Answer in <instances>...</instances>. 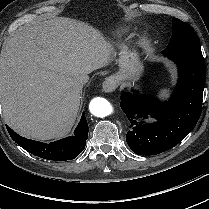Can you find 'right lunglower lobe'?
I'll return each instance as SVG.
<instances>
[{
    "label": "right lung lower lobe",
    "instance_id": "98d812e1",
    "mask_svg": "<svg viewBox=\"0 0 209 209\" xmlns=\"http://www.w3.org/2000/svg\"><path fill=\"white\" fill-rule=\"evenodd\" d=\"M7 130L11 138L29 153L47 160L64 161L74 159L83 151L89 127L83 113L73 136L49 144L21 137L9 127Z\"/></svg>",
    "mask_w": 209,
    "mask_h": 209
}]
</instances>
